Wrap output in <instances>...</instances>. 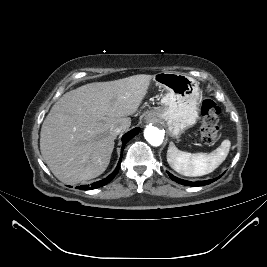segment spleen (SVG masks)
I'll return each mask as SVG.
<instances>
[{"mask_svg":"<svg viewBox=\"0 0 267 267\" xmlns=\"http://www.w3.org/2000/svg\"><path fill=\"white\" fill-rule=\"evenodd\" d=\"M230 141L224 140L211 153H188L178 150L173 142L169 144L167 161L172 169L185 176H203L213 172L227 157Z\"/></svg>","mask_w":267,"mask_h":267,"instance_id":"obj_1","label":"spleen"}]
</instances>
